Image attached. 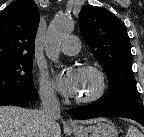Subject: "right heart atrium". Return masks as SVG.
Returning <instances> with one entry per match:
<instances>
[{
	"label": "right heart atrium",
	"instance_id": "d8ad5b80",
	"mask_svg": "<svg viewBox=\"0 0 144 137\" xmlns=\"http://www.w3.org/2000/svg\"><path fill=\"white\" fill-rule=\"evenodd\" d=\"M38 84L41 99L47 104L56 103L57 96L54 83L44 69L38 70Z\"/></svg>",
	"mask_w": 144,
	"mask_h": 137
}]
</instances>
